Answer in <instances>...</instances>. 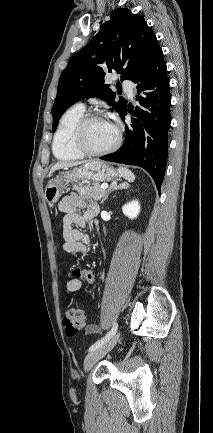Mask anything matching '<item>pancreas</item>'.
<instances>
[{"instance_id": "pancreas-1", "label": "pancreas", "mask_w": 213, "mask_h": 433, "mask_svg": "<svg viewBox=\"0 0 213 433\" xmlns=\"http://www.w3.org/2000/svg\"><path fill=\"white\" fill-rule=\"evenodd\" d=\"M73 190L78 192L81 196H89L95 201H99L105 195V190H103L97 183L92 185L87 184L85 186L74 184Z\"/></svg>"}]
</instances>
